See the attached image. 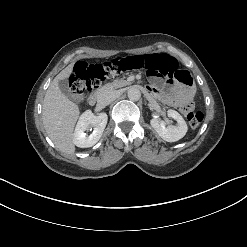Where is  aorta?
<instances>
[{
  "label": "aorta",
  "mask_w": 247,
  "mask_h": 247,
  "mask_svg": "<svg viewBox=\"0 0 247 247\" xmlns=\"http://www.w3.org/2000/svg\"><path fill=\"white\" fill-rule=\"evenodd\" d=\"M128 98L132 101H138L141 97V92L138 88L136 87H131L129 90H128Z\"/></svg>",
  "instance_id": "1"
}]
</instances>
